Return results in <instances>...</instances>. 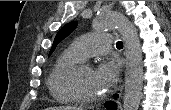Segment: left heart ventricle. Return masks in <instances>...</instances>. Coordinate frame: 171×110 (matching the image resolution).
Listing matches in <instances>:
<instances>
[{
  "instance_id": "obj_1",
  "label": "left heart ventricle",
  "mask_w": 171,
  "mask_h": 110,
  "mask_svg": "<svg viewBox=\"0 0 171 110\" xmlns=\"http://www.w3.org/2000/svg\"><path fill=\"white\" fill-rule=\"evenodd\" d=\"M78 85L80 90L86 96H99L104 93V90L101 88L97 82L94 70L91 67H85L78 75Z\"/></svg>"
}]
</instances>
